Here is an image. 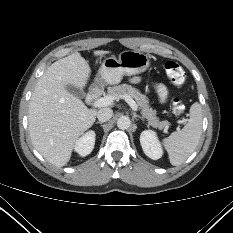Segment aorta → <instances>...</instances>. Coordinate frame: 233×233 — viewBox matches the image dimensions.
Masks as SVG:
<instances>
[{
    "label": "aorta",
    "mask_w": 233,
    "mask_h": 233,
    "mask_svg": "<svg viewBox=\"0 0 233 233\" xmlns=\"http://www.w3.org/2000/svg\"><path fill=\"white\" fill-rule=\"evenodd\" d=\"M130 124H131L130 118L127 116H121L117 120V127L122 130L129 128Z\"/></svg>",
    "instance_id": "1"
}]
</instances>
